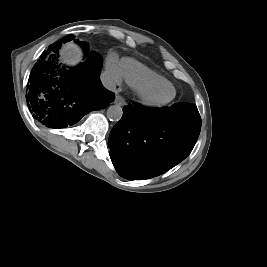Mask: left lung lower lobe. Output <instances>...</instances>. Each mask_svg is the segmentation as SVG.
Returning <instances> with one entry per match:
<instances>
[{
  "label": "left lung lower lobe",
  "mask_w": 267,
  "mask_h": 267,
  "mask_svg": "<svg viewBox=\"0 0 267 267\" xmlns=\"http://www.w3.org/2000/svg\"><path fill=\"white\" fill-rule=\"evenodd\" d=\"M201 118L196 105L145 108L134 103L123 108L111 130L110 158L120 176L142 180L163 174L193 149Z\"/></svg>",
  "instance_id": "0a47b994"
}]
</instances>
